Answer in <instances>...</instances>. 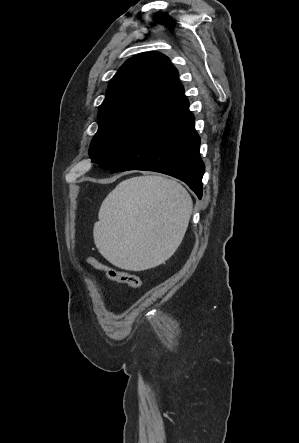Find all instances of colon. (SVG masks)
<instances>
[{
    "label": "colon",
    "instance_id": "colon-1",
    "mask_svg": "<svg viewBox=\"0 0 299 443\" xmlns=\"http://www.w3.org/2000/svg\"><path fill=\"white\" fill-rule=\"evenodd\" d=\"M85 260L94 269L101 272L108 279H110L112 281H115L118 283H124L134 290L139 289L141 286V279L135 273L115 269L113 267L107 266V265L99 262L98 260H96L92 257H86Z\"/></svg>",
    "mask_w": 299,
    "mask_h": 443
}]
</instances>
